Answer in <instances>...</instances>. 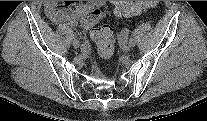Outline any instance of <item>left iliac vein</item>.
I'll list each match as a JSON object with an SVG mask.
<instances>
[{"mask_svg": "<svg viewBox=\"0 0 207 121\" xmlns=\"http://www.w3.org/2000/svg\"><path fill=\"white\" fill-rule=\"evenodd\" d=\"M133 46H135V45H134L133 43H130V42H129L128 47L131 48V47H133Z\"/></svg>", "mask_w": 207, "mask_h": 121, "instance_id": "1", "label": "left iliac vein"}]
</instances>
